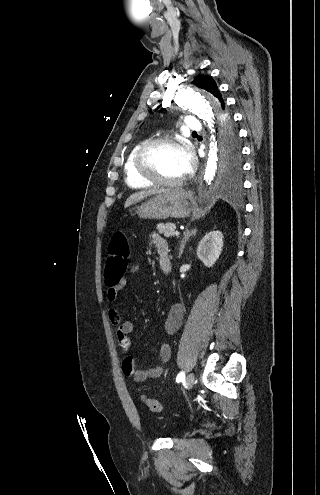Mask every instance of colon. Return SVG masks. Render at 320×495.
Returning <instances> with one entry per match:
<instances>
[{"label":"colon","mask_w":320,"mask_h":495,"mask_svg":"<svg viewBox=\"0 0 320 495\" xmlns=\"http://www.w3.org/2000/svg\"><path fill=\"white\" fill-rule=\"evenodd\" d=\"M129 257V245L126 235L121 231L115 232L107 250V262L104 271L107 283L116 284L123 278ZM142 402L151 412L159 413L162 410L161 403L156 399L142 396Z\"/></svg>","instance_id":"obj_1"}]
</instances>
